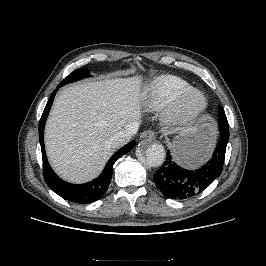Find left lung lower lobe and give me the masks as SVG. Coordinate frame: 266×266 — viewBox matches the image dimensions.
<instances>
[{
    "instance_id": "left-lung-lower-lobe-1",
    "label": "left lung lower lobe",
    "mask_w": 266,
    "mask_h": 266,
    "mask_svg": "<svg viewBox=\"0 0 266 266\" xmlns=\"http://www.w3.org/2000/svg\"><path fill=\"white\" fill-rule=\"evenodd\" d=\"M225 117L219 121L220 141L212 158L196 170H187L178 166L170 151L164 164L154 174L153 179L158 189L172 199H187L205 190L222 172L226 146L229 139V125ZM228 122V121H227Z\"/></svg>"
}]
</instances>
